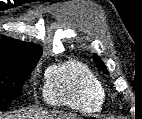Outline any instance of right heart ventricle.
I'll return each instance as SVG.
<instances>
[{
	"mask_svg": "<svg viewBox=\"0 0 142 119\" xmlns=\"http://www.w3.org/2000/svg\"><path fill=\"white\" fill-rule=\"evenodd\" d=\"M43 97L51 105H67L81 112H96L105 100L101 81L81 62L51 66L45 74Z\"/></svg>",
	"mask_w": 142,
	"mask_h": 119,
	"instance_id": "right-heart-ventricle-1",
	"label": "right heart ventricle"
}]
</instances>
